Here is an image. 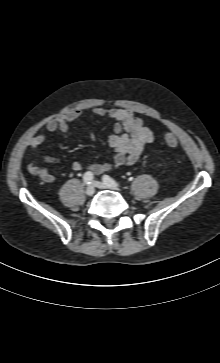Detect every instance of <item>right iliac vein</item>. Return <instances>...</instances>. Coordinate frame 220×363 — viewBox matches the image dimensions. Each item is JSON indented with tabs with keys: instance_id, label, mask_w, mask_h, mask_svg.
<instances>
[{
	"instance_id": "obj_1",
	"label": "right iliac vein",
	"mask_w": 220,
	"mask_h": 363,
	"mask_svg": "<svg viewBox=\"0 0 220 363\" xmlns=\"http://www.w3.org/2000/svg\"><path fill=\"white\" fill-rule=\"evenodd\" d=\"M86 194L88 195V196H92L93 194H94V192H95V188H94V186L93 185H89L87 188H86Z\"/></svg>"
}]
</instances>
